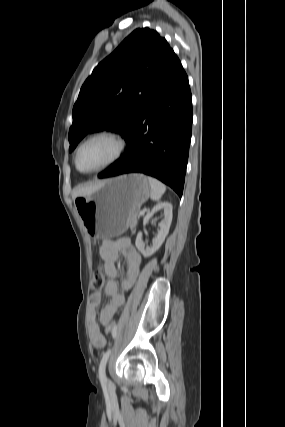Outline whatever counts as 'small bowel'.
I'll return each instance as SVG.
<instances>
[{"label": "small bowel", "instance_id": "1", "mask_svg": "<svg viewBox=\"0 0 285 427\" xmlns=\"http://www.w3.org/2000/svg\"><path fill=\"white\" fill-rule=\"evenodd\" d=\"M99 254L104 260V271L108 277L104 293L109 300L99 315L100 324L106 326L111 322L114 314L124 303V294L121 290H128L135 282L140 271L141 256L128 237L105 240L99 249ZM120 255L127 262V271L125 278L119 285L116 280L118 275L116 262ZM100 301L101 292H94L90 296V305L93 312L100 304ZM90 338L93 346L96 348H101L105 345V337L99 328V323L96 321L92 323Z\"/></svg>", "mask_w": 285, "mask_h": 427}]
</instances>
